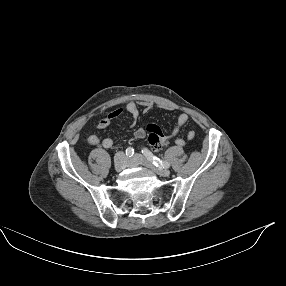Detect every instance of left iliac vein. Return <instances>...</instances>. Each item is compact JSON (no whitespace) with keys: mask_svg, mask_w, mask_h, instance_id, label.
Masks as SVG:
<instances>
[{"mask_svg":"<svg viewBox=\"0 0 286 286\" xmlns=\"http://www.w3.org/2000/svg\"><path fill=\"white\" fill-rule=\"evenodd\" d=\"M139 165L147 166L148 168L152 169L155 173L163 177H168L170 175L169 170L161 167H155L151 163H149L143 156L136 154L129 160L128 166L137 167Z\"/></svg>","mask_w":286,"mask_h":286,"instance_id":"4c4485c4","label":"left iliac vein"}]
</instances>
